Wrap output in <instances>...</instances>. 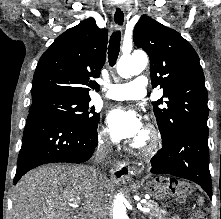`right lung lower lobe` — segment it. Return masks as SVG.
Returning a JSON list of instances; mask_svg holds the SVG:
<instances>
[{"mask_svg": "<svg viewBox=\"0 0 221 219\" xmlns=\"http://www.w3.org/2000/svg\"><path fill=\"white\" fill-rule=\"evenodd\" d=\"M97 144V129H86L58 116L31 112L24 129L14 184L42 164L85 162Z\"/></svg>", "mask_w": 221, "mask_h": 219, "instance_id": "right-lung-lower-lobe-1", "label": "right lung lower lobe"}]
</instances>
